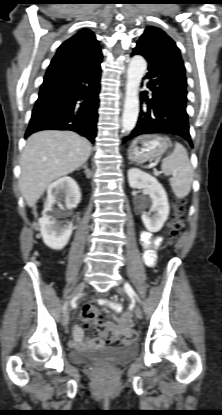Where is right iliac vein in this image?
Instances as JSON below:
<instances>
[{
    "mask_svg": "<svg viewBox=\"0 0 222 415\" xmlns=\"http://www.w3.org/2000/svg\"><path fill=\"white\" fill-rule=\"evenodd\" d=\"M85 287H86L85 281L80 282L76 286L75 290L72 292V294L69 297V304L83 292ZM68 321H69V306L67 307V309H66V311L63 315L62 324L64 326H66L68 324Z\"/></svg>",
    "mask_w": 222,
    "mask_h": 415,
    "instance_id": "1",
    "label": "right iliac vein"
}]
</instances>
